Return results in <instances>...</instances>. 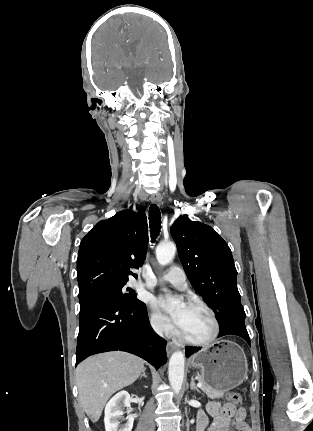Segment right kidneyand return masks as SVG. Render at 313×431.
<instances>
[{
	"label": "right kidney",
	"instance_id": "obj_1",
	"mask_svg": "<svg viewBox=\"0 0 313 431\" xmlns=\"http://www.w3.org/2000/svg\"><path fill=\"white\" fill-rule=\"evenodd\" d=\"M124 408H127V422L120 426L119 418L124 414ZM130 406V395L126 391H121L113 396L105 407V430L106 431H131L134 422V415Z\"/></svg>",
	"mask_w": 313,
	"mask_h": 431
}]
</instances>
